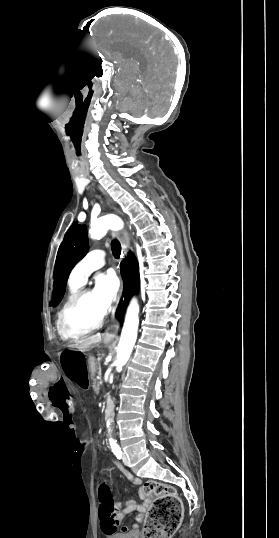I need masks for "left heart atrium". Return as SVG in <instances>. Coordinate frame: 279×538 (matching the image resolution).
Here are the masks:
<instances>
[{"label": "left heart atrium", "mask_w": 279, "mask_h": 538, "mask_svg": "<svg viewBox=\"0 0 279 538\" xmlns=\"http://www.w3.org/2000/svg\"><path fill=\"white\" fill-rule=\"evenodd\" d=\"M118 289L119 278L114 270L110 269L97 275L93 292L96 294L104 313L110 309Z\"/></svg>", "instance_id": "obj_1"}]
</instances>
